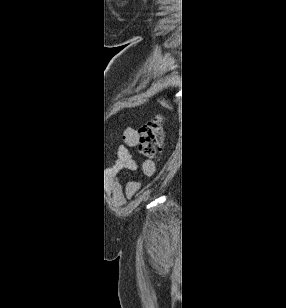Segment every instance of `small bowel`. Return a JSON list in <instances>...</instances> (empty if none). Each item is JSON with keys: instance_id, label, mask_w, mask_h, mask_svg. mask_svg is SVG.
Masks as SVG:
<instances>
[{"instance_id": "small-bowel-1", "label": "small bowel", "mask_w": 286, "mask_h": 308, "mask_svg": "<svg viewBox=\"0 0 286 308\" xmlns=\"http://www.w3.org/2000/svg\"><path fill=\"white\" fill-rule=\"evenodd\" d=\"M138 137H139L138 132L131 127L126 128L123 132L124 142L127 147L134 146L138 140ZM127 147H124L121 150L122 157L124 158V166L128 170L136 172L138 170L137 163L132 159L131 153ZM142 170L144 174L148 176L152 175L154 173L153 163L149 161L144 162L142 164Z\"/></svg>"}]
</instances>
